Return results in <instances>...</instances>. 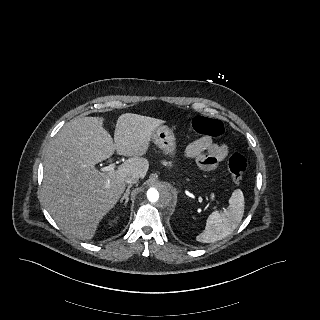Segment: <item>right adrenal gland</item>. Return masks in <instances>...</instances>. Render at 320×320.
Listing matches in <instances>:
<instances>
[{
	"label": "right adrenal gland",
	"instance_id": "right-adrenal-gland-1",
	"mask_svg": "<svg viewBox=\"0 0 320 320\" xmlns=\"http://www.w3.org/2000/svg\"><path fill=\"white\" fill-rule=\"evenodd\" d=\"M132 187V185H129L126 189L125 194L122 196V198L120 199V203H123L124 201V205L126 206L128 201H129V193H130V188Z\"/></svg>",
	"mask_w": 320,
	"mask_h": 320
}]
</instances>
